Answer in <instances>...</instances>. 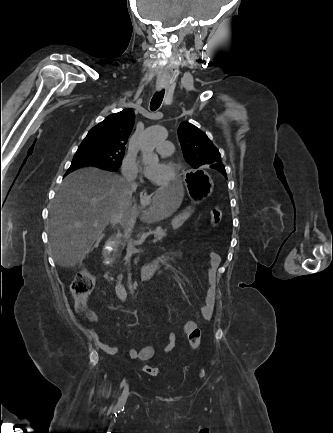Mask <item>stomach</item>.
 I'll list each match as a JSON object with an SVG mask.
<instances>
[{
    "mask_svg": "<svg viewBox=\"0 0 333 433\" xmlns=\"http://www.w3.org/2000/svg\"><path fill=\"white\" fill-rule=\"evenodd\" d=\"M180 183H189L188 194L192 203L199 202L201 199L210 196L213 192L214 183L211 176L202 169H186L185 174L179 175ZM147 201L141 199V205L147 204ZM194 208L189 206L182 213L174 218L173 228L182 225L191 215Z\"/></svg>",
    "mask_w": 333,
    "mask_h": 433,
    "instance_id": "stomach-1",
    "label": "stomach"
}]
</instances>
